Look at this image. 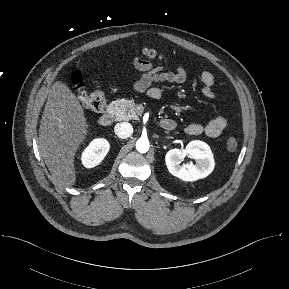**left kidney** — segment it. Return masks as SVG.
Returning a JSON list of instances; mask_svg holds the SVG:
<instances>
[{"instance_id":"obj_1","label":"left kidney","mask_w":289,"mask_h":289,"mask_svg":"<svg viewBox=\"0 0 289 289\" xmlns=\"http://www.w3.org/2000/svg\"><path fill=\"white\" fill-rule=\"evenodd\" d=\"M188 156L195 164L180 165ZM168 171L183 181H196L207 177L214 169V159L210 147L203 141L195 140L188 143L186 149H171L165 156Z\"/></svg>"}]
</instances>
